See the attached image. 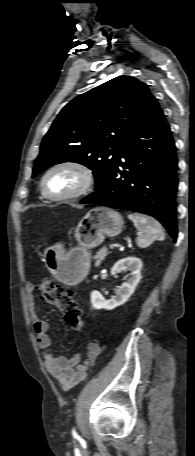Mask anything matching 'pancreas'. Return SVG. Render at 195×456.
I'll return each instance as SVG.
<instances>
[{"instance_id":"obj_1","label":"pancreas","mask_w":195,"mask_h":456,"mask_svg":"<svg viewBox=\"0 0 195 456\" xmlns=\"http://www.w3.org/2000/svg\"><path fill=\"white\" fill-rule=\"evenodd\" d=\"M108 254L109 252L106 247L101 248L94 256L95 266H99Z\"/></svg>"}]
</instances>
